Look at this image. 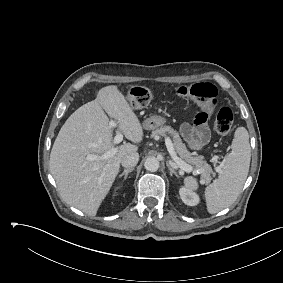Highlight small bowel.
Masks as SVG:
<instances>
[{
	"mask_svg": "<svg viewBox=\"0 0 283 283\" xmlns=\"http://www.w3.org/2000/svg\"><path fill=\"white\" fill-rule=\"evenodd\" d=\"M181 135L193 150H201L209 140L210 132L207 125V113L196 115L194 124L184 123L180 127Z\"/></svg>",
	"mask_w": 283,
	"mask_h": 283,
	"instance_id": "c3829d8e",
	"label": "small bowel"
}]
</instances>
